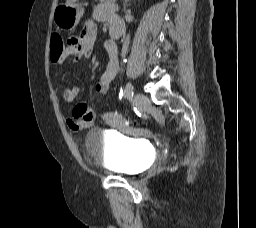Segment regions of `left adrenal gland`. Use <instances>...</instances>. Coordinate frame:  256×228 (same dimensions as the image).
I'll list each match as a JSON object with an SVG mask.
<instances>
[{"mask_svg":"<svg viewBox=\"0 0 256 228\" xmlns=\"http://www.w3.org/2000/svg\"><path fill=\"white\" fill-rule=\"evenodd\" d=\"M129 0H125V3H124V8H125V6H126V3L128 2Z\"/></svg>","mask_w":256,"mask_h":228,"instance_id":"left-adrenal-gland-1","label":"left adrenal gland"}]
</instances>
